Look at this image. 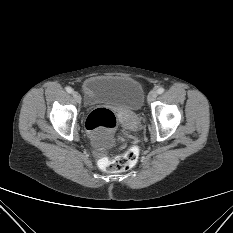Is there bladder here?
I'll use <instances>...</instances> for the list:
<instances>
[{
    "label": "bladder",
    "instance_id": "1",
    "mask_svg": "<svg viewBox=\"0 0 233 233\" xmlns=\"http://www.w3.org/2000/svg\"><path fill=\"white\" fill-rule=\"evenodd\" d=\"M85 101L89 105H111L124 110L135 111L141 108L144 93L141 85L129 76H91L84 80ZM92 147L104 152L112 147L109 137H91Z\"/></svg>",
    "mask_w": 233,
    "mask_h": 233
}]
</instances>
